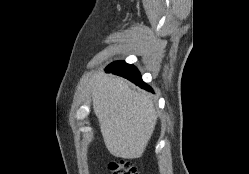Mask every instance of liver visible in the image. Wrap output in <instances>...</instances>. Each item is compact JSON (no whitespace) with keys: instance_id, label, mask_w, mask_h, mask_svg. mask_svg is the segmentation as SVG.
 <instances>
[{"instance_id":"1","label":"liver","mask_w":249,"mask_h":174,"mask_svg":"<svg viewBox=\"0 0 249 174\" xmlns=\"http://www.w3.org/2000/svg\"><path fill=\"white\" fill-rule=\"evenodd\" d=\"M91 93L108 151L123 159L141 157L157 122L152 100L123 78L104 73L95 77Z\"/></svg>"}]
</instances>
